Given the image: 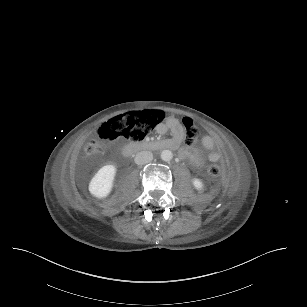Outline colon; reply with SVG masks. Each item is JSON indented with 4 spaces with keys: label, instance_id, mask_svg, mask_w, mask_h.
Here are the masks:
<instances>
[{
    "label": "colon",
    "instance_id": "obj_1",
    "mask_svg": "<svg viewBox=\"0 0 307 307\" xmlns=\"http://www.w3.org/2000/svg\"><path fill=\"white\" fill-rule=\"evenodd\" d=\"M164 116L165 113L161 110L139 111L116 116L99 127V139L88 141L84 145V152L87 156L95 155L107 150L110 144L120 139L141 141L163 120ZM181 122L186 144L194 145L200 136L199 128L192 122L189 114H184ZM208 173L211 178L220 176L221 168L216 161L209 163Z\"/></svg>",
    "mask_w": 307,
    "mask_h": 307
}]
</instances>
